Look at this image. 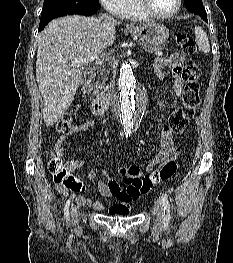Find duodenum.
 I'll use <instances>...</instances> for the list:
<instances>
[{
  "label": "duodenum",
  "mask_w": 233,
  "mask_h": 263,
  "mask_svg": "<svg viewBox=\"0 0 233 263\" xmlns=\"http://www.w3.org/2000/svg\"><path fill=\"white\" fill-rule=\"evenodd\" d=\"M94 76L95 73L92 70L84 73L81 90L84 95L89 93V98L94 100L90 104L92 113L96 116H101L108 109L110 103L113 102V99L110 95H105L106 93H110V90H107L106 88L109 84V81L100 82L99 85L90 89Z\"/></svg>",
  "instance_id": "410a0bca"
}]
</instances>
